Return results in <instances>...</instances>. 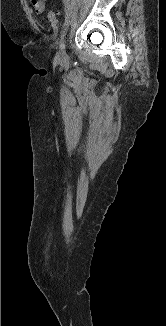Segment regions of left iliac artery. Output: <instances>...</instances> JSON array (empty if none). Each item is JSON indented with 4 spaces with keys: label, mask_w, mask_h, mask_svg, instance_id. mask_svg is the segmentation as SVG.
<instances>
[{
    "label": "left iliac artery",
    "mask_w": 166,
    "mask_h": 326,
    "mask_svg": "<svg viewBox=\"0 0 166 326\" xmlns=\"http://www.w3.org/2000/svg\"><path fill=\"white\" fill-rule=\"evenodd\" d=\"M70 15H71L70 12L66 13L65 22H64L63 28L61 30V35H60L61 39H63L66 35L67 29L69 26V22H70Z\"/></svg>",
    "instance_id": "44dca946"
}]
</instances>
